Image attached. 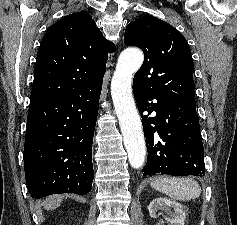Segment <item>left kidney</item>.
<instances>
[{
    "instance_id": "left-kidney-1",
    "label": "left kidney",
    "mask_w": 237,
    "mask_h": 225,
    "mask_svg": "<svg viewBox=\"0 0 237 225\" xmlns=\"http://www.w3.org/2000/svg\"><path fill=\"white\" fill-rule=\"evenodd\" d=\"M174 211L171 212L170 209ZM151 217L156 218L158 210L167 212L168 217H165L169 225H184L186 218L185 211L180 203L168 200L167 198H155L148 206Z\"/></svg>"
}]
</instances>
